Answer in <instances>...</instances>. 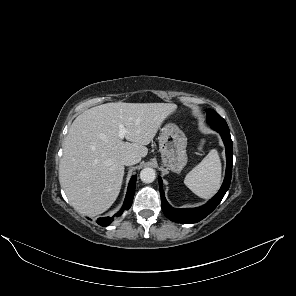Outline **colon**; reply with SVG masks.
Wrapping results in <instances>:
<instances>
[{"label":"colon","instance_id":"colon-1","mask_svg":"<svg viewBox=\"0 0 296 296\" xmlns=\"http://www.w3.org/2000/svg\"><path fill=\"white\" fill-rule=\"evenodd\" d=\"M204 144H205V142L204 141H201L200 143H199V149L201 150V149H203V147H204Z\"/></svg>","mask_w":296,"mask_h":296}]
</instances>
